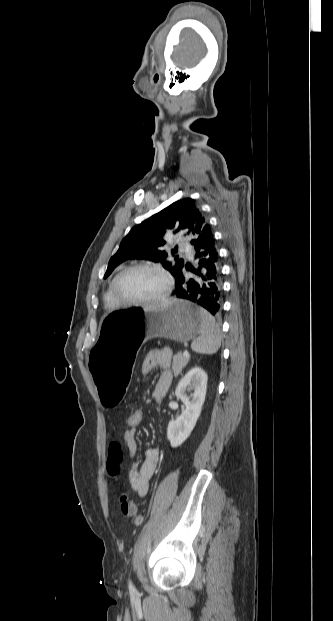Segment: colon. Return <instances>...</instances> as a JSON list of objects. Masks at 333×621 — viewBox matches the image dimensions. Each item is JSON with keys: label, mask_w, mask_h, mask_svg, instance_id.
<instances>
[{"label": "colon", "mask_w": 333, "mask_h": 621, "mask_svg": "<svg viewBox=\"0 0 333 621\" xmlns=\"http://www.w3.org/2000/svg\"><path fill=\"white\" fill-rule=\"evenodd\" d=\"M142 416V411L140 409L133 408L128 411L126 421L129 426L136 427L141 423ZM120 508L123 515L130 518L134 524L138 525L142 522V517L138 512L136 504L129 500L125 494L120 498Z\"/></svg>", "instance_id": "obj_1"}]
</instances>
